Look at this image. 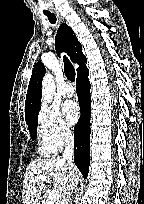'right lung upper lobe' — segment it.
<instances>
[{"label":"right lung upper lobe","mask_w":144,"mask_h":204,"mask_svg":"<svg viewBox=\"0 0 144 204\" xmlns=\"http://www.w3.org/2000/svg\"><path fill=\"white\" fill-rule=\"evenodd\" d=\"M55 48L58 54L65 51L72 62L77 63V73L86 67L87 59L82 53V45L73 30L66 24H62L56 35ZM46 70L41 62H38L32 71L25 101V117H32L40 110L42 78Z\"/></svg>","instance_id":"obj_1"}]
</instances>
